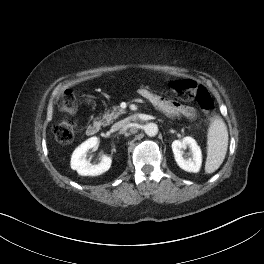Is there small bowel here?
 I'll return each mask as SVG.
<instances>
[{
    "instance_id": "c3829d8e",
    "label": "small bowel",
    "mask_w": 264,
    "mask_h": 264,
    "mask_svg": "<svg viewBox=\"0 0 264 264\" xmlns=\"http://www.w3.org/2000/svg\"><path fill=\"white\" fill-rule=\"evenodd\" d=\"M139 94L142 98L148 100L154 106L168 115H182L189 119H193L196 117V110L192 106L164 99L158 95L153 94L147 89H141L139 91Z\"/></svg>"
}]
</instances>
